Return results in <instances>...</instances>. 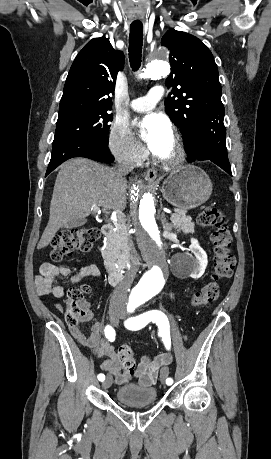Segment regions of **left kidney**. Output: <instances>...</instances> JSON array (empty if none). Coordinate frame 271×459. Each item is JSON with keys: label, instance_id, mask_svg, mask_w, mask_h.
<instances>
[{"label": "left kidney", "instance_id": "5707ae66", "mask_svg": "<svg viewBox=\"0 0 271 459\" xmlns=\"http://www.w3.org/2000/svg\"><path fill=\"white\" fill-rule=\"evenodd\" d=\"M188 249L191 253H187V255H189V267L187 273H189L190 277L198 279V277L203 275L207 267V253L204 249H202L201 245H199L198 239H194V237H191V245H189ZM192 253L195 257H193Z\"/></svg>", "mask_w": 271, "mask_h": 459}]
</instances>
